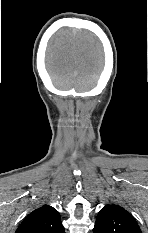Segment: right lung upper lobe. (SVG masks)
<instances>
[{
    "label": "right lung upper lobe",
    "instance_id": "cb5924a9",
    "mask_svg": "<svg viewBox=\"0 0 148 233\" xmlns=\"http://www.w3.org/2000/svg\"><path fill=\"white\" fill-rule=\"evenodd\" d=\"M15 233H65L59 212L44 205L31 212Z\"/></svg>",
    "mask_w": 148,
    "mask_h": 233
}]
</instances>
